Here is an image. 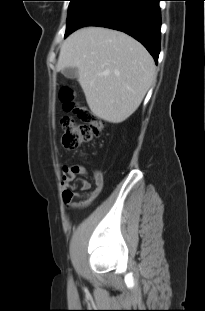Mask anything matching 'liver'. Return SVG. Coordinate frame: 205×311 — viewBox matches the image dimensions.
<instances>
[{
	"label": "liver",
	"instance_id": "liver-1",
	"mask_svg": "<svg viewBox=\"0 0 205 311\" xmlns=\"http://www.w3.org/2000/svg\"><path fill=\"white\" fill-rule=\"evenodd\" d=\"M77 68L78 81L92 113L121 123L139 107L155 79L154 60L129 35L86 27L62 44L56 70Z\"/></svg>",
	"mask_w": 205,
	"mask_h": 311
}]
</instances>
